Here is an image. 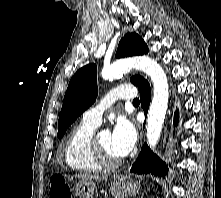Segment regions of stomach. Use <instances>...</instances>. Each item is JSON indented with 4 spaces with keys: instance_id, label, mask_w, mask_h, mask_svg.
Listing matches in <instances>:
<instances>
[{
    "instance_id": "stomach-1",
    "label": "stomach",
    "mask_w": 221,
    "mask_h": 198,
    "mask_svg": "<svg viewBox=\"0 0 221 198\" xmlns=\"http://www.w3.org/2000/svg\"><path fill=\"white\" fill-rule=\"evenodd\" d=\"M96 185L91 180H78L75 183V194L78 198H93ZM140 186L127 177H116L110 185V192L115 198H125L137 193Z\"/></svg>"
}]
</instances>
